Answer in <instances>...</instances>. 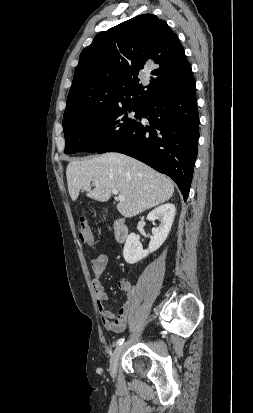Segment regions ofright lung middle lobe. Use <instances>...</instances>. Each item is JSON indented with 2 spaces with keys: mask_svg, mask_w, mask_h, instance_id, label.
Returning a JSON list of instances; mask_svg holds the SVG:
<instances>
[{
  "mask_svg": "<svg viewBox=\"0 0 253 413\" xmlns=\"http://www.w3.org/2000/svg\"><path fill=\"white\" fill-rule=\"evenodd\" d=\"M132 110L135 118L128 117ZM139 117V108L120 107L75 118L63 124L65 153L98 152L133 129Z\"/></svg>",
  "mask_w": 253,
  "mask_h": 413,
  "instance_id": "1",
  "label": "right lung middle lobe"
}]
</instances>
